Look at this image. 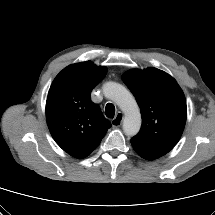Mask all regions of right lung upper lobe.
Instances as JSON below:
<instances>
[{
  "mask_svg": "<svg viewBox=\"0 0 215 215\" xmlns=\"http://www.w3.org/2000/svg\"><path fill=\"white\" fill-rule=\"evenodd\" d=\"M107 69L90 61L70 65L54 79L46 102V120L55 142L82 159L101 142L110 122L90 99L92 89Z\"/></svg>",
  "mask_w": 215,
  "mask_h": 215,
  "instance_id": "cb5924a9",
  "label": "right lung upper lobe"
}]
</instances>
